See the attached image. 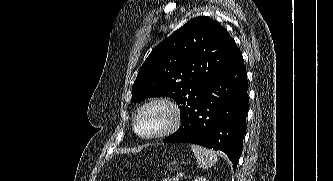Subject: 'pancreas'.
Masks as SVG:
<instances>
[{"label":"pancreas","mask_w":333,"mask_h":181,"mask_svg":"<svg viewBox=\"0 0 333 181\" xmlns=\"http://www.w3.org/2000/svg\"><path fill=\"white\" fill-rule=\"evenodd\" d=\"M163 181H174V179H172V178H166Z\"/></svg>","instance_id":"pancreas-1"}]
</instances>
